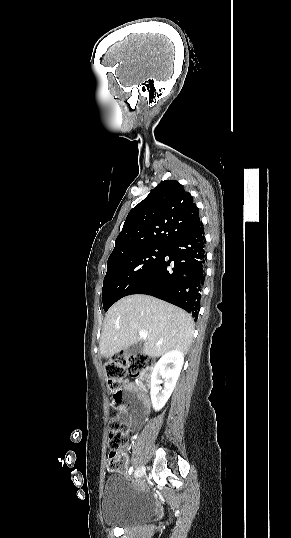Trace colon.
Wrapping results in <instances>:
<instances>
[{
	"instance_id": "1",
	"label": "colon",
	"mask_w": 291,
	"mask_h": 538,
	"mask_svg": "<svg viewBox=\"0 0 291 538\" xmlns=\"http://www.w3.org/2000/svg\"><path fill=\"white\" fill-rule=\"evenodd\" d=\"M152 372V359L145 354H133L125 357L123 354L112 355L105 364V373L113 403L118 404L122 398V389L127 375L138 377L149 376ZM129 432L128 425L119 418L112 419L109 423V457L106 462L108 471L115 472L120 467L118 456L119 449L124 444Z\"/></svg>"
}]
</instances>
